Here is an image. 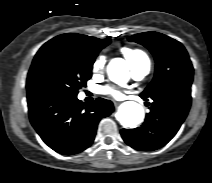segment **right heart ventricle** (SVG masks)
<instances>
[{
	"label": "right heart ventricle",
	"mask_w": 212,
	"mask_h": 183,
	"mask_svg": "<svg viewBox=\"0 0 212 183\" xmlns=\"http://www.w3.org/2000/svg\"><path fill=\"white\" fill-rule=\"evenodd\" d=\"M125 58L130 63L131 67L148 64L150 65V60L147 54L140 50V49H134V48H124L122 50Z\"/></svg>",
	"instance_id": "1"
}]
</instances>
